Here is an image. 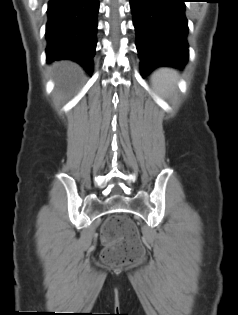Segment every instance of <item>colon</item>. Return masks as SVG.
Wrapping results in <instances>:
<instances>
[{"mask_svg":"<svg viewBox=\"0 0 238 315\" xmlns=\"http://www.w3.org/2000/svg\"><path fill=\"white\" fill-rule=\"evenodd\" d=\"M101 234L106 244L102 258L107 264L121 266L142 259L144 248L138 229L127 216L109 217L102 227Z\"/></svg>","mask_w":238,"mask_h":315,"instance_id":"1","label":"colon"}]
</instances>
